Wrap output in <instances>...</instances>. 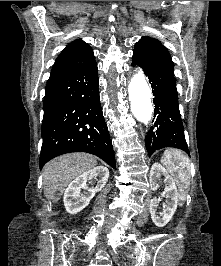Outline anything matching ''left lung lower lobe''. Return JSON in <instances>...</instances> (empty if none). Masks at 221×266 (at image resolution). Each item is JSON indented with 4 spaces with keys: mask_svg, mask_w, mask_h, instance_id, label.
Listing matches in <instances>:
<instances>
[{
    "mask_svg": "<svg viewBox=\"0 0 221 266\" xmlns=\"http://www.w3.org/2000/svg\"><path fill=\"white\" fill-rule=\"evenodd\" d=\"M132 65L137 64L133 61ZM143 71L151 84L155 104V121L145 139L149 157L155 150L164 147L179 148L190 154L184 136L174 75Z\"/></svg>",
    "mask_w": 221,
    "mask_h": 266,
    "instance_id": "1",
    "label": "left lung lower lobe"
}]
</instances>
